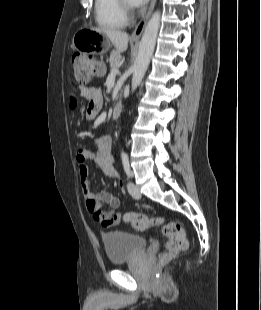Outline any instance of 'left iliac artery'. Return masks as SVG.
<instances>
[{
  "label": "left iliac artery",
  "instance_id": "obj_1",
  "mask_svg": "<svg viewBox=\"0 0 261 310\" xmlns=\"http://www.w3.org/2000/svg\"><path fill=\"white\" fill-rule=\"evenodd\" d=\"M122 163H123V167L124 170L127 174V176L130 178L132 176L131 170H130V165H129V159L127 155H122Z\"/></svg>",
  "mask_w": 261,
  "mask_h": 310
}]
</instances>
